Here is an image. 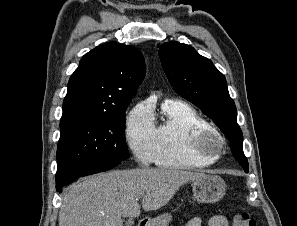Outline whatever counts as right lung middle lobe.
Here are the masks:
<instances>
[{
  "label": "right lung middle lobe",
  "mask_w": 297,
  "mask_h": 226,
  "mask_svg": "<svg viewBox=\"0 0 297 226\" xmlns=\"http://www.w3.org/2000/svg\"><path fill=\"white\" fill-rule=\"evenodd\" d=\"M57 171L93 161L129 157L125 142V112L116 117L78 116L60 122Z\"/></svg>",
  "instance_id": "1"
}]
</instances>
